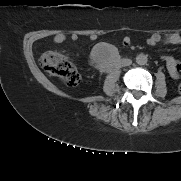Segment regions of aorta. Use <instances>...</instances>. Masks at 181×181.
<instances>
[{
  "mask_svg": "<svg viewBox=\"0 0 181 181\" xmlns=\"http://www.w3.org/2000/svg\"><path fill=\"white\" fill-rule=\"evenodd\" d=\"M148 62V56L145 54H139L136 56V63L138 65H145Z\"/></svg>",
  "mask_w": 181,
  "mask_h": 181,
  "instance_id": "obj_1",
  "label": "aorta"
}]
</instances>
